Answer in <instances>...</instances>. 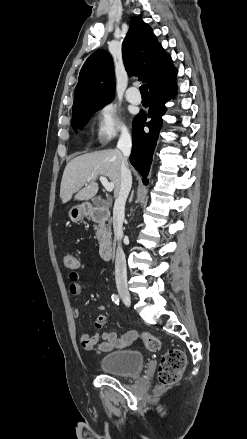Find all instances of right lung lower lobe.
<instances>
[{"label": "right lung lower lobe", "instance_id": "right-lung-lower-lobe-1", "mask_svg": "<svg viewBox=\"0 0 247 439\" xmlns=\"http://www.w3.org/2000/svg\"><path fill=\"white\" fill-rule=\"evenodd\" d=\"M176 91V83H172L150 93V109L148 115L139 113L133 121V149L130 162L134 168L146 178L150 169L152 155L157 143L159 130L162 125L161 117L166 111L165 103L170 100ZM150 118L146 122V118ZM149 131H144V126ZM147 184L148 180L143 179Z\"/></svg>", "mask_w": 247, "mask_h": 439}]
</instances>
